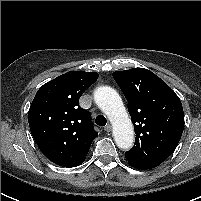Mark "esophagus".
I'll use <instances>...</instances> for the list:
<instances>
[{"label":"esophagus","mask_w":201,"mask_h":201,"mask_svg":"<svg viewBox=\"0 0 201 201\" xmlns=\"http://www.w3.org/2000/svg\"><path fill=\"white\" fill-rule=\"evenodd\" d=\"M111 129H112V127H111L110 124H108L107 126L104 127V130H105L106 132H110Z\"/></svg>","instance_id":"1"}]
</instances>
